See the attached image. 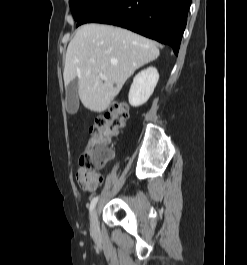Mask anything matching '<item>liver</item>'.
I'll use <instances>...</instances> for the list:
<instances>
[{"instance_id": "1", "label": "liver", "mask_w": 247, "mask_h": 265, "mask_svg": "<svg viewBox=\"0 0 247 265\" xmlns=\"http://www.w3.org/2000/svg\"><path fill=\"white\" fill-rule=\"evenodd\" d=\"M158 56L156 44L145 37L110 25L86 24L67 47L64 84L67 87L76 78L84 107L101 113L136 69ZM100 73L107 80L101 79Z\"/></svg>"}]
</instances>
